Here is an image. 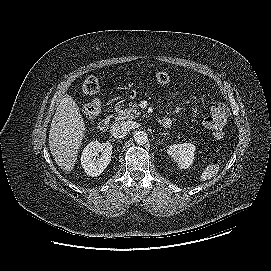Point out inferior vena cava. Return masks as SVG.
Here are the masks:
<instances>
[{"label": "inferior vena cava", "instance_id": "inferior-vena-cava-1", "mask_svg": "<svg viewBox=\"0 0 271 271\" xmlns=\"http://www.w3.org/2000/svg\"><path fill=\"white\" fill-rule=\"evenodd\" d=\"M130 131V124L125 121L115 122L110 127L111 135L117 139L124 138Z\"/></svg>", "mask_w": 271, "mask_h": 271}]
</instances>
